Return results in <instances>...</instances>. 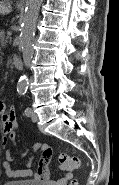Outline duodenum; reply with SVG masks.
Listing matches in <instances>:
<instances>
[{"label": "duodenum", "mask_w": 119, "mask_h": 185, "mask_svg": "<svg viewBox=\"0 0 119 185\" xmlns=\"http://www.w3.org/2000/svg\"><path fill=\"white\" fill-rule=\"evenodd\" d=\"M13 64L16 69L22 70L23 69V61L22 58L19 55H15L13 57Z\"/></svg>", "instance_id": "410a0bca"}]
</instances>
